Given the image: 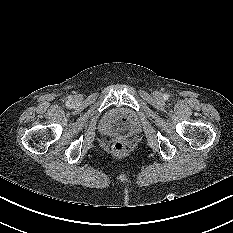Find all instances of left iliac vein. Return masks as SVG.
<instances>
[{
	"label": "left iliac vein",
	"instance_id": "obj_1",
	"mask_svg": "<svg viewBox=\"0 0 233 233\" xmlns=\"http://www.w3.org/2000/svg\"><path fill=\"white\" fill-rule=\"evenodd\" d=\"M155 96H156V98H157V99H162V95H161V93H156V95H155Z\"/></svg>",
	"mask_w": 233,
	"mask_h": 233
}]
</instances>
